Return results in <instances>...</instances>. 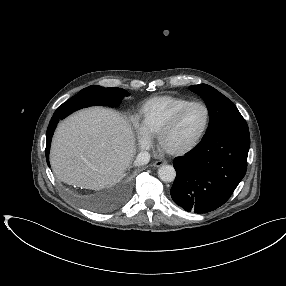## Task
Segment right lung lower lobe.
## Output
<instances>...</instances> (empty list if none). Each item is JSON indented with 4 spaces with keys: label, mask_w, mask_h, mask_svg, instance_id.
Here are the masks:
<instances>
[{
    "label": "right lung lower lobe",
    "mask_w": 286,
    "mask_h": 286,
    "mask_svg": "<svg viewBox=\"0 0 286 286\" xmlns=\"http://www.w3.org/2000/svg\"><path fill=\"white\" fill-rule=\"evenodd\" d=\"M61 119L58 115L54 114L53 117L51 118V121L49 123V126L47 128V134H46V159H47V164H49V150H50V143H51V138L54 133V130L57 126V123Z\"/></svg>",
    "instance_id": "obj_1"
}]
</instances>
